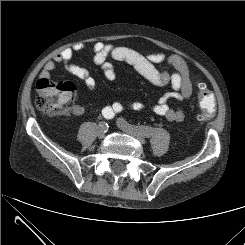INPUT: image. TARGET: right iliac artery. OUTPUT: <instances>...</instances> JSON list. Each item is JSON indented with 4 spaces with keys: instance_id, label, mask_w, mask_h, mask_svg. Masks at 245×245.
<instances>
[{
    "instance_id": "right-iliac-artery-1",
    "label": "right iliac artery",
    "mask_w": 245,
    "mask_h": 245,
    "mask_svg": "<svg viewBox=\"0 0 245 245\" xmlns=\"http://www.w3.org/2000/svg\"><path fill=\"white\" fill-rule=\"evenodd\" d=\"M102 115H103L106 119H110V118H111V117L108 115V113H106V112L103 111V110H102ZM99 126H101V127L104 129L105 132H106L107 129H108L107 123H105V122H103V121L100 122Z\"/></svg>"
}]
</instances>
